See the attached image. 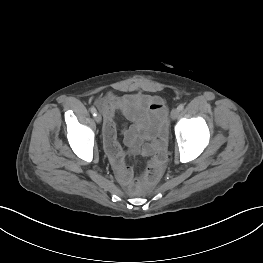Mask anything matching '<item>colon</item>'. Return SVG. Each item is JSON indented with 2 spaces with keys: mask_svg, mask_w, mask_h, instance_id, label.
Returning <instances> with one entry per match:
<instances>
[{
  "mask_svg": "<svg viewBox=\"0 0 263 263\" xmlns=\"http://www.w3.org/2000/svg\"><path fill=\"white\" fill-rule=\"evenodd\" d=\"M161 172V167L159 165L148 166V169L142 179H140L134 189H139L145 185L155 182Z\"/></svg>",
  "mask_w": 263,
  "mask_h": 263,
  "instance_id": "colon-1",
  "label": "colon"
}]
</instances>
